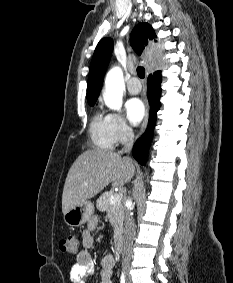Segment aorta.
<instances>
[{
  "instance_id": "1",
  "label": "aorta",
  "mask_w": 233,
  "mask_h": 283,
  "mask_svg": "<svg viewBox=\"0 0 233 283\" xmlns=\"http://www.w3.org/2000/svg\"><path fill=\"white\" fill-rule=\"evenodd\" d=\"M124 89L123 72L120 67H113L105 78L103 98L107 107L116 111L121 110Z\"/></svg>"
}]
</instances>
